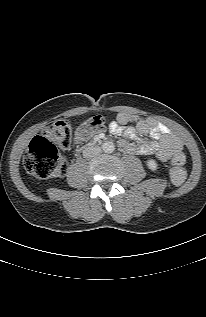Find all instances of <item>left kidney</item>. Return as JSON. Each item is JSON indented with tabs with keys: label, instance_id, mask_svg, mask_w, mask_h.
<instances>
[{
	"label": "left kidney",
	"instance_id": "obj_1",
	"mask_svg": "<svg viewBox=\"0 0 206 317\" xmlns=\"http://www.w3.org/2000/svg\"><path fill=\"white\" fill-rule=\"evenodd\" d=\"M147 166L152 171H155L158 168V164H157V162L154 159H149L147 161Z\"/></svg>",
	"mask_w": 206,
	"mask_h": 317
}]
</instances>
